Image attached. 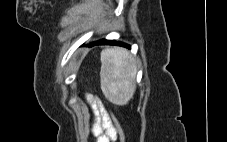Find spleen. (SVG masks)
<instances>
[{"mask_svg": "<svg viewBox=\"0 0 227 142\" xmlns=\"http://www.w3.org/2000/svg\"><path fill=\"white\" fill-rule=\"evenodd\" d=\"M101 90L116 105H126L136 89V61L124 48H106L101 52Z\"/></svg>", "mask_w": 227, "mask_h": 142, "instance_id": "obj_1", "label": "spleen"}]
</instances>
